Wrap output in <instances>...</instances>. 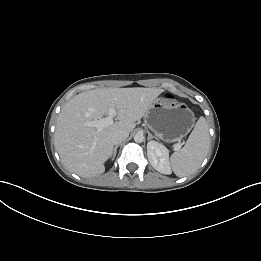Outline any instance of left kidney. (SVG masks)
I'll return each instance as SVG.
<instances>
[{"label":"left kidney","instance_id":"1","mask_svg":"<svg viewBox=\"0 0 261 261\" xmlns=\"http://www.w3.org/2000/svg\"><path fill=\"white\" fill-rule=\"evenodd\" d=\"M147 156L150 164L155 170L163 174H170L168 149L156 141L147 143Z\"/></svg>","mask_w":261,"mask_h":261}]
</instances>
